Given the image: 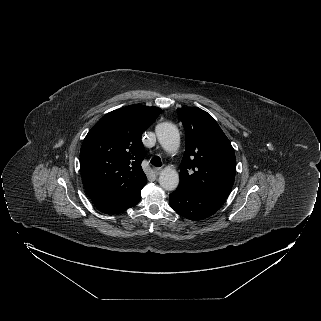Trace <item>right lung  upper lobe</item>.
Instances as JSON below:
<instances>
[{"label":"right lung upper lobe","instance_id":"1","mask_svg":"<svg viewBox=\"0 0 321 321\" xmlns=\"http://www.w3.org/2000/svg\"><path fill=\"white\" fill-rule=\"evenodd\" d=\"M158 107L130 105L103 116L88 132L80 151L86 191L101 212L135 206L147 183L141 162V134L161 113Z\"/></svg>","mask_w":321,"mask_h":321}]
</instances>
